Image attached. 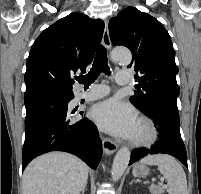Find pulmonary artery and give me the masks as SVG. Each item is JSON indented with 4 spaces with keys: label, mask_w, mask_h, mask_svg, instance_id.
Here are the masks:
<instances>
[{
    "label": "pulmonary artery",
    "mask_w": 201,
    "mask_h": 194,
    "mask_svg": "<svg viewBox=\"0 0 201 194\" xmlns=\"http://www.w3.org/2000/svg\"><path fill=\"white\" fill-rule=\"evenodd\" d=\"M131 75L128 71H119L116 75V82L119 85L129 84ZM109 87L105 84H98L91 87L87 92H78L76 95L77 100L92 101L102 98L109 94Z\"/></svg>",
    "instance_id": "pulmonary-artery-1"
}]
</instances>
